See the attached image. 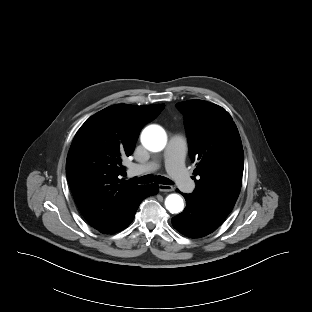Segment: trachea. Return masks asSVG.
<instances>
[{
  "instance_id": "trachea-1",
  "label": "trachea",
  "mask_w": 312,
  "mask_h": 312,
  "mask_svg": "<svg viewBox=\"0 0 312 312\" xmlns=\"http://www.w3.org/2000/svg\"><path fill=\"white\" fill-rule=\"evenodd\" d=\"M137 183L139 184H145V183H151V182H155V183H159V184H164V185H172L173 182L165 177L162 176H152V175H145L142 176L140 178H138L136 180Z\"/></svg>"
}]
</instances>
